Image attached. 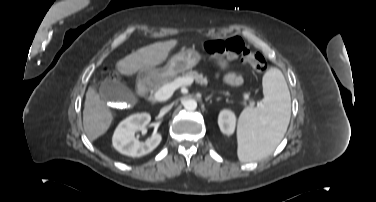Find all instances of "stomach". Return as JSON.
<instances>
[{
  "instance_id": "1",
  "label": "stomach",
  "mask_w": 376,
  "mask_h": 202,
  "mask_svg": "<svg viewBox=\"0 0 376 202\" xmlns=\"http://www.w3.org/2000/svg\"><path fill=\"white\" fill-rule=\"evenodd\" d=\"M201 60V54L194 48L185 49L171 57L168 63L161 69L150 67L140 70L139 76L145 79L158 80L161 77L176 78L191 68H193ZM216 63L220 68H225L228 60L222 57L216 58Z\"/></svg>"
}]
</instances>
